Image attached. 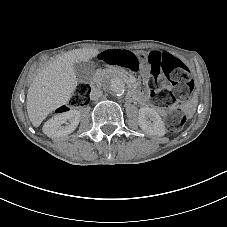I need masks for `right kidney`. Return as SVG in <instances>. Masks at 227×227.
Returning a JSON list of instances; mask_svg holds the SVG:
<instances>
[{"label": "right kidney", "mask_w": 227, "mask_h": 227, "mask_svg": "<svg viewBox=\"0 0 227 227\" xmlns=\"http://www.w3.org/2000/svg\"><path fill=\"white\" fill-rule=\"evenodd\" d=\"M79 122L80 112L78 110H69L48 120L43 126V132L48 137L68 135L76 129Z\"/></svg>", "instance_id": "right-kidney-1"}]
</instances>
